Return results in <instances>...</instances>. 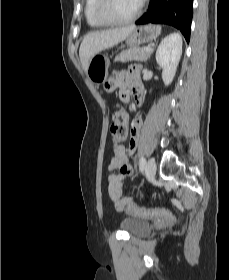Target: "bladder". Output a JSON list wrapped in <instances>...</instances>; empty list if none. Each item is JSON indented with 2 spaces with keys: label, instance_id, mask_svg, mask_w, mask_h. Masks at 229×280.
<instances>
[{
  "label": "bladder",
  "instance_id": "1",
  "mask_svg": "<svg viewBox=\"0 0 229 280\" xmlns=\"http://www.w3.org/2000/svg\"><path fill=\"white\" fill-rule=\"evenodd\" d=\"M121 226L132 236L146 235L154 231V228L145 219L125 218L121 221Z\"/></svg>",
  "mask_w": 229,
  "mask_h": 280
}]
</instances>
